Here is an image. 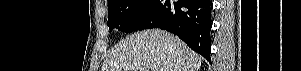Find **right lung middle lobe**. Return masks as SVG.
Here are the masks:
<instances>
[{"instance_id":"dd1d6c3e","label":"right lung middle lobe","mask_w":301,"mask_h":71,"mask_svg":"<svg viewBox=\"0 0 301 71\" xmlns=\"http://www.w3.org/2000/svg\"><path fill=\"white\" fill-rule=\"evenodd\" d=\"M157 0H110L108 1V26L130 33L142 30Z\"/></svg>"}]
</instances>
